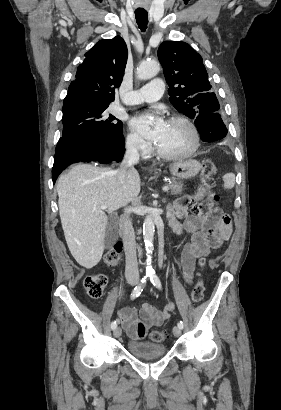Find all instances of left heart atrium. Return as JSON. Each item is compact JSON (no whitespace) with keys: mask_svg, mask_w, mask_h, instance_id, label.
Returning a JSON list of instances; mask_svg holds the SVG:
<instances>
[{"mask_svg":"<svg viewBox=\"0 0 281 410\" xmlns=\"http://www.w3.org/2000/svg\"><path fill=\"white\" fill-rule=\"evenodd\" d=\"M166 121L160 117H151L148 114L140 115L131 122L132 126L141 134L157 142L166 127Z\"/></svg>","mask_w":281,"mask_h":410,"instance_id":"obj_1","label":"left heart atrium"}]
</instances>
